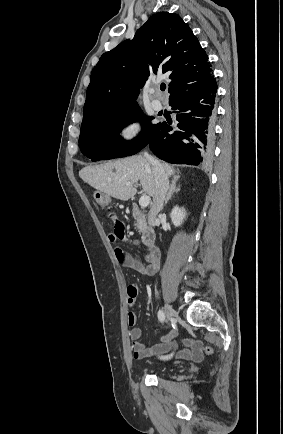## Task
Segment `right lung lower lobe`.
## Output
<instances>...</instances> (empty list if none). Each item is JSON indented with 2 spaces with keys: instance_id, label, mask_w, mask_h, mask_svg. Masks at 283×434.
<instances>
[{
  "instance_id": "right-lung-lower-lobe-1",
  "label": "right lung lower lobe",
  "mask_w": 283,
  "mask_h": 434,
  "mask_svg": "<svg viewBox=\"0 0 283 434\" xmlns=\"http://www.w3.org/2000/svg\"><path fill=\"white\" fill-rule=\"evenodd\" d=\"M216 79L200 89L169 101L176 110L178 124H160L150 145L160 159L175 164L198 165L211 155L215 117ZM175 129L174 133L168 134Z\"/></svg>"
}]
</instances>
